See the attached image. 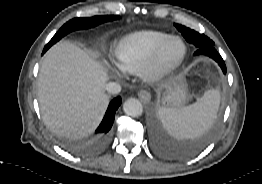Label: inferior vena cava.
Wrapping results in <instances>:
<instances>
[{
  "label": "inferior vena cava",
  "instance_id": "602c4592",
  "mask_svg": "<svg viewBox=\"0 0 262 184\" xmlns=\"http://www.w3.org/2000/svg\"><path fill=\"white\" fill-rule=\"evenodd\" d=\"M105 89L110 94H118L121 92V85L116 82H109L106 84Z\"/></svg>",
  "mask_w": 262,
  "mask_h": 184
}]
</instances>
